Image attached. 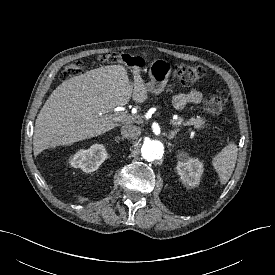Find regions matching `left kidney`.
<instances>
[{
    "label": "left kidney",
    "instance_id": "1",
    "mask_svg": "<svg viewBox=\"0 0 275 275\" xmlns=\"http://www.w3.org/2000/svg\"><path fill=\"white\" fill-rule=\"evenodd\" d=\"M177 173L181 180L192 187L200 182L203 173V163L198 158H191L186 152H179L177 155Z\"/></svg>",
    "mask_w": 275,
    "mask_h": 275
}]
</instances>
